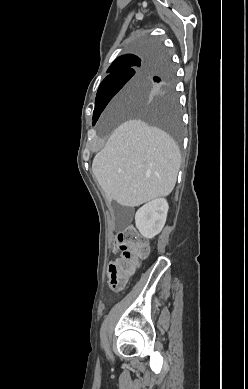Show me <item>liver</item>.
Instances as JSON below:
<instances>
[{
	"instance_id": "liver-1",
	"label": "liver",
	"mask_w": 248,
	"mask_h": 389,
	"mask_svg": "<svg viewBox=\"0 0 248 389\" xmlns=\"http://www.w3.org/2000/svg\"><path fill=\"white\" fill-rule=\"evenodd\" d=\"M128 85L115 102H137ZM180 150L163 130L133 119L122 123L95 155L92 171L108 202L135 207L168 196L177 180Z\"/></svg>"
}]
</instances>
